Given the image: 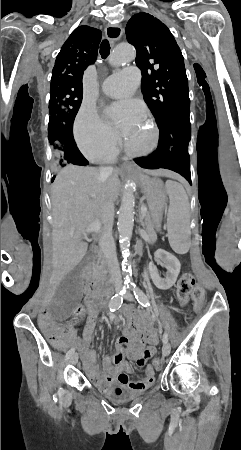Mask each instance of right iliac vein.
Instances as JSON below:
<instances>
[{
  "label": "right iliac vein",
  "mask_w": 241,
  "mask_h": 450,
  "mask_svg": "<svg viewBox=\"0 0 241 450\" xmlns=\"http://www.w3.org/2000/svg\"><path fill=\"white\" fill-rule=\"evenodd\" d=\"M70 362L71 364H76L78 362V354H74L71 358H70Z\"/></svg>",
  "instance_id": "63e3f726"
}]
</instances>
